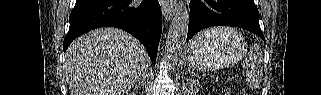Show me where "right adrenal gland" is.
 Returning <instances> with one entry per match:
<instances>
[{
    "label": "right adrenal gland",
    "instance_id": "right-adrenal-gland-1",
    "mask_svg": "<svg viewBox=\"0 0 321 95\" xmlns=\"http://www.w3.org/2000/svg\"><path fill=\"white\" fill-rule=\"evenodd\" d=\"M145 82H146V76H144L142 80L135 86L134 91H137L139 87L144 88Z\"/></svg>",
    "mask_w": 321,
    "mask_h": 95
}]
</instances>
